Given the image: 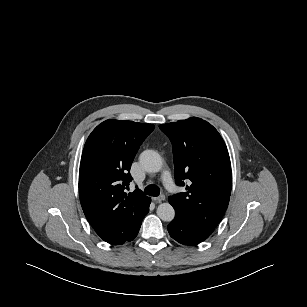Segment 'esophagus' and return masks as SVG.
Wrapping results in <instances>:
<instances>
[{"label":"esophagus","mask_w":307,"mask_h":307,"mask_svg":"<svg viewBox=\"0 0 307 307\" xmlns=\"http://www.w3.org/2000/svg\"><path fill=\"white\" fill-rule=\"evenodd\" d=\"M152 200L155 201V202L164 201L165 200V195H160L158 197H153Z\"/></svg>","instance_id":"34e87169"}]
</instances>
